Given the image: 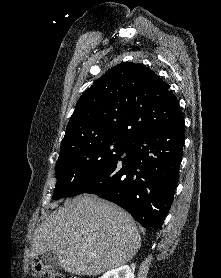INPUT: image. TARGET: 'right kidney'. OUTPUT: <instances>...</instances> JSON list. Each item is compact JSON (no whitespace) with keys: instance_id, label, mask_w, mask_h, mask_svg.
Instances as JSON below:
<instances>
[{"instance_id":"right-kidney-1","label":"right kidney","mask_w":221,"mask_h":278,"mask_svg":"<svg viewBox=\"0 0 221 278\" xmlns=\"http://www.w3.org/2000/svg\"><path fill=\"white\" fill-rule=\"evenodd\" d=\"M135 265H123L106 272L99 278H134Z\"/></svg>"}]
</instances>
